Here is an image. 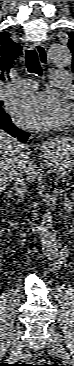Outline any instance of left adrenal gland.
<instances>
[{"label":"left adrenal gland","mask_w":74,"mask_h":366,"mask_svg":"<svg viewBox=\"0 0 74 366\" xmlns=\"http://www.w3.org/2000/svg\"><path fill=\"white\" fill-rule=\"evenodd\" d=\"M69 202H70V200H69V198L67 196V193H65V195H64V203H63L64 209H66L69 206Z\"/></svg>","instance_id":"1"}]
</instances>
